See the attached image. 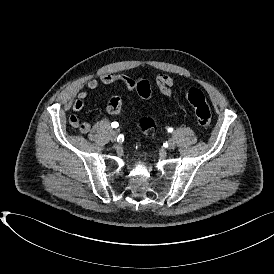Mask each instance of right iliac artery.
<instances>
[{
  "label": "right iliac artery",
  "instance_id": "obj_1",
  "mask_svg": "<svg viewBox=\"0 0 274 274\" xmlns=\"http://www.w3.org/2000/svg\"><path fill=\"white\" fill-rule=\"evenodd\" d=\"M112 128H117L119 126L118 122H112L111 124ZM124 140V136L123 135H119L117 137V141H123Z\"/></svg>",
  "mask_w": 274,
  "mask_h": 274
}]
</instances>
